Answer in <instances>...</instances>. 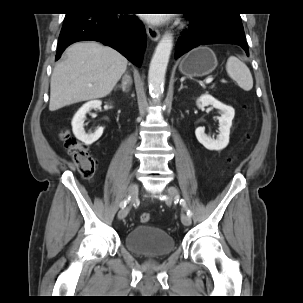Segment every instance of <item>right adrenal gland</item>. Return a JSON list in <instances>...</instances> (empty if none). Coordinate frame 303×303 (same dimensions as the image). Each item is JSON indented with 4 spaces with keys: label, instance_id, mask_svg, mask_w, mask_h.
Segmentation results:
<instances>
[{
    "label": "right adrenal gland",
    "instance_id": "2a0ac1e0",
    "mask_svg": "<svg viewBox=\"0 0 303 303\" xmlns=\"http://www.w3.org/2000/svg\"><path fill=\"white\" fill-rule=\"evenodd\" d=\"M132 85V80L129 76H124L122 78V84L121 85H117L115 87V89H122L123 92H128L130 87Z\"/></svg>",
    "mask_w": 303,
    "mask_h": 303
}]
</instances>
